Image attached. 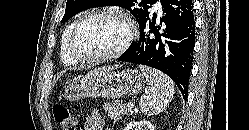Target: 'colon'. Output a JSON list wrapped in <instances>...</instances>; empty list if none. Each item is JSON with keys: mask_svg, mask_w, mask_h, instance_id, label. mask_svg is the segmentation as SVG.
I'll list each match as a JSON object with an SVG mask.
<instances>
[{"mask_svg": "<svg viewBox=\"0 0 249 130\" xmlns=\"http://www.w3.org/2000/svg\"><path fill=\"white\" fill-rule=\"evenodd\" d=\"M53 114L60 130H79V125L76 119L65 105H54Z\"/></svg>", "mask_w": 249, "mask_h": 130, "instance_id": "colon-1", "label": "colon"}]
</instances>
